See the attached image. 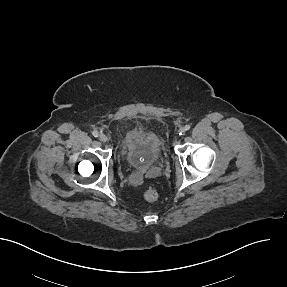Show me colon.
I'll list each match as a JSON object with an SVG mask.
<instances>
[{
	"mask_svg": "<svg viewBox=\"0 0 287 287\" xmlns=\"http://www.w3.org/2000/svg\"><path fill=\"white\" fill-rule=\"evenodd\" d=\"M143 198L149 202L156 201L158 198V192L153 188H146L143 191Z\"/></svg>",
	"mask_w": 287,
	"mask_h": 287,
	"instance_id": "obj_1",
	"label": "colon"
}]
</instances>
